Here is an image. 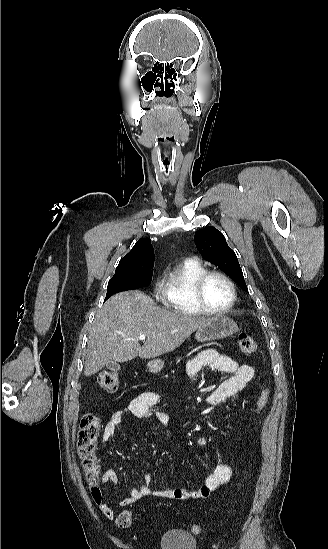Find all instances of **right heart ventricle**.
Instances as JSON below:
<instances>
[{
    "label": "right heart ventricle",
    "mask_w": 328,
    "mask_h": 549,
    "mask_svg": "<svg viewBox=\"0 0 328 549\" xmlns=\"http://www.w3.org/2000/svg\"><path fill=\"white\" fill-rule=\"evenodd\" d=\"M207 267V263L197 256L186 258L163 282L162 290L156 297L158 303H173V310H180V319H204L192 308L195 305L193 287L197 277Z\"/></svg>",
    "instance_id": "1"
}]
</instances>
